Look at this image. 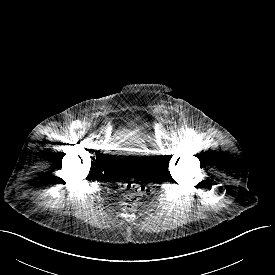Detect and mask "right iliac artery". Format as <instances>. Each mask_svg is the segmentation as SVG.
Masks as SVG:
<instances>
[{
    "mask_svg": "<svg viewBox=\"0 0 275 275\" xmlns=\"http://www.w3.org/2000/svg\"><path fill=\"white\" fill-rule=\"evenodd\" d=\"M72 127L75 129H78L79 127H81V123L79 121H74L72 123Z\"/></svg>",
    "mask_w": 275,
    "mask_h": 275,
    "instance_id": "right-iliac-artery-1",
    "label": "right iliac artery"
}]
</instances>
